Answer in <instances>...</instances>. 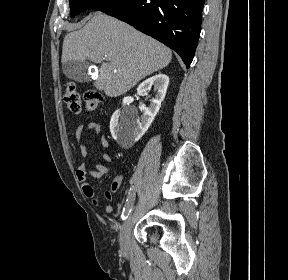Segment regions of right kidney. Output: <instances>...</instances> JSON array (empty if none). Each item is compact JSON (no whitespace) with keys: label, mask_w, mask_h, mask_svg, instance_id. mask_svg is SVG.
<instances>
[{"label":"right kidney","mask_w":288,"mask_h":280,"mask_svg":"<svg viewBox=\"0 0 288 280\" xmlns=\"http://www.w3.org/2000/svg\"><path fill=\"white\" fill-rule=\"evenodd\" d=\"M169 84V77L165 74H157L143 81L137 88L138 95H144L149 91L152 86L156 94L152 99L149 107L142 105L140 110L143 112L141 118H136L132 113L121 112L115 113L110 122V131L112 137L123 148L131 147L137 142L148 130L153 122L156 114L158 113L161 102L163 101L167 87ZM134 101L133 97H125L122 101L123 106H129Z\"/></svg>","instance_id":"1"}]
</instances>
